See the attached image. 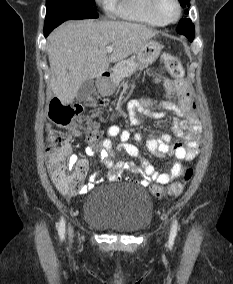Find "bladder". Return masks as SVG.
<instances>
[{
  "label": "bladder",
  "instance_id": "1",
  "mask_svg": "<svg viewBox=\"0 0 233 284\" xmlns=\"http://www.w3.org/2000/svg\"><path fill=\"white\" fill-rule=\"evenodd\" d=\"M83 211L85 223L95 229L135 234L150 225L154 205L145 189L125 184L93 191Z\"/></svg>",
  "mask_w": 233,
  "mask_h": 284
}]
</instances>
